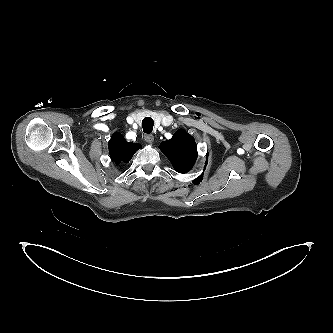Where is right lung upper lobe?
I'll return each instance as SVG.
<instances>
[{"mask_svg":"<svg viewBox=\"0 0 333 333\" xmlns=\"http://www.w3.org/2000/svg\"><path fill=\"white\" fill-rule=\"evenodd\" d=\"M140 148V144L127 142L119 132H115L109 141V153L112 161L117 165L122 162H129L134 153Z\"/></svg>","mask_w":333,"mask_h":333,"instance_id":"right-lung-upper-lobe-1","label":"right lung upper lobe"}]
</instances>
